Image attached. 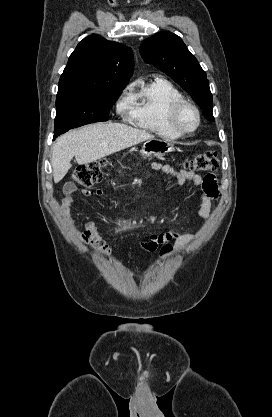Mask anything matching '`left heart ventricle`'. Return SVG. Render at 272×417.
<instances>
[{
    "label": "left heart ventricle",
    "mask_w": 272,
    "mask_h": 417,
    "mask_svg": "<svg viewBox=\"0 0 272 417\" xmlns=\"http://www.w3.org/2000/svg\"><path fill=\"white\" fill-rule=\"evenodd\" d=\"M179 123L184 129H192L196 124V115L190 108H185L179 117Z\"/></svg>",
    "instance_id": "obj_1"
}]
</instances>
